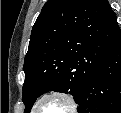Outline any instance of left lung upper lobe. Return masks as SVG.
<instances>
[{
	"label": "left lung upper lobe",
	"instance_id": "1",
	"mask_svg": "<svg viewBox=\"0 0 121 113\" xmlns=\"http://www.w3.org/2000/svg\"><path fill=\"white\" fill-rule=\"evenodd\" d=\"M119 30L107 0H48L32 28L24 61L25 113L52 89L77 101Z\"/></svg>",
	"mask_w": 121,
	"mask_h": 113
}]
</instances>
